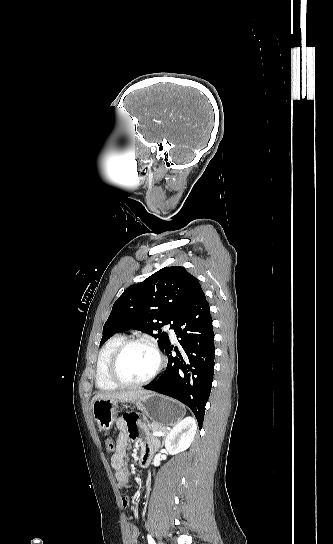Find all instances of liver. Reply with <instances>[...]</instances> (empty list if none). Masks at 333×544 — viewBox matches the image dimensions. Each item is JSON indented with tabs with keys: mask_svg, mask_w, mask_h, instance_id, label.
I'll use <instances>...</instances> for the list:
<instances>
[{
	"mask_svg": "<svg viewBox=\"0 0 333 544\" xmlns=\"http://www.w3.org/2000/svg\"><path fill=\"white\" fill-rule=\"evenodd\" d=\"M150 392L145 390H127L121 392H102L92 398V403L96 400H112L119 402H131Z\"/></svg>",
	"mask_w": 333,
	"mask_h": 544,
	"instance_id": "obj_1",
	"label": "liver"
}]
</instances>
